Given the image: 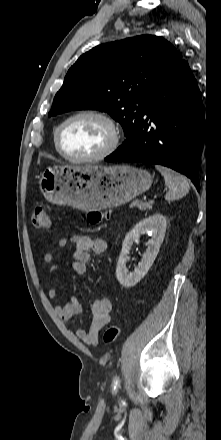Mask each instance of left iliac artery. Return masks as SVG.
Here are the masks:
<instances>
[{
    "label": "left iliac artery",
    "mask_w": 221,
    "mask_h": 440,
    "mask_svg": "<svg viewBox=\"0 0 221 440\" xmlns=\"http://www.w3.org/2000/svg\"><path fill=\"white\" fill-rule=\"evenodd\" d=\"M118 385H119V378H116L113 383V391H115L117 389Z\"/></svg>",
    "instance_id": "1"
}]
</instances>
